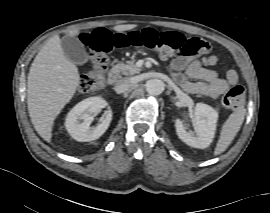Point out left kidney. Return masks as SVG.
<instances>
[{
  "label": "left kidney",
  "instance_id": "left-kidney-1",
  "mask_svg": "<svg viewBox=\"0 0 270 213\" xmlns=\"http://www.w3.org/2000/svg\"><path fill=\"white\" fill-rule=\"evenodd\" d=\"M218 120L217 111L204 103H197L194 108L195 132L187 131L181 119H176L175 128L180 140L187 145L205 149L213 141Z\"/></svg>",
  "mask_w": 270,
  "mask_h": 213
}]
</instances>
